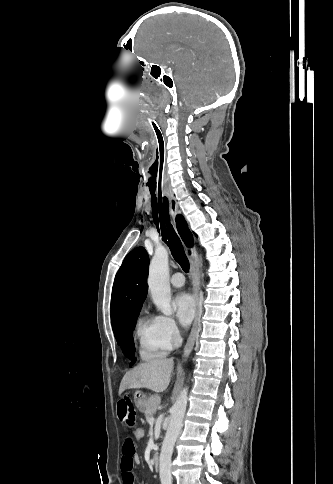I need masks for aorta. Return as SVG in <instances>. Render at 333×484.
I'll return each mask as SVG.
<instances>
[{
    "mask_svg": "<svg viewBox=\"0 0 333 484\" xmlns=\"http://www.w3.org/2000/svg\"><path fill=\"white\" fill-rule=\"evenodd\" d=\"M148 288L153 302L164 315L173 313L171 306V288L169 283L168 252L165 248H158L150 262L148 274ZM188 388H184L171 409L169 426L162 443L159 457V475L161 484H171V458L176 439L183 426V418L188 401Z\"/></svg>",
    "mask_w": 333,
    "mask_h": 484,
    "instance_id": "1",
    "label": "aorta"
}]
</instances>
